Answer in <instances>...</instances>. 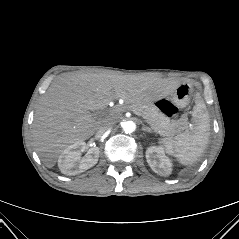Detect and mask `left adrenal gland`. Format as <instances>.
<instances>
[{"instance_id":"1","label":"left adrenal gland","mask_w":239,"mask_h":239,"mask_svg":"<svg viewBox=\"0 0 239 239\" xmlns=\"http://www.w3.org/2000/svg\"><path fill=\"white\" fill-rule=\"evenodd\" d=\"M142 130L148 133H153V130L145 124H142Z\"/></svg>"}]
</instances>
